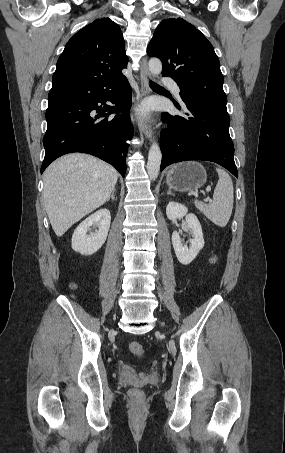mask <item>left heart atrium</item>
<instances>
[{"instance_id":"obj_1","label":"left heart atrium","mask_w":285,"mask_h":453,"mask_svg":"<svg viewBox=\"0 0 285 453\" xmlns=\"http://www.w3.org/2000/svg\"><path fill=\"white\" fill-rule=\"evenodd\" d=\"M148 112V107L147 106H141L139 109H138V113L140 115H146Z\"/></svg>"}]
</instances>
